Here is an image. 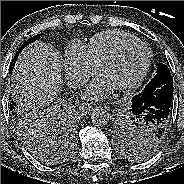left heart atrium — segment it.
Returning <instances> with one entry per match:
<instances>
[{
	"label": "left heart atrium",
	"mask_w": 184,
	"mask_h": 184,
	"mask_svg": "<svg viewBox=\"0 0 184 184\" xmlns=\"http://www.w3.org/2000/svg\"><path fill=\"white\" fill-rule=\"evenodd\" d=\"M113 88L114 87L111 83L103 75H101L89 83L84 95L90 100H101L108 97Z\"/></svg>",
	"instance_id": "left-heart-atrium-1"
}]
</instances>
